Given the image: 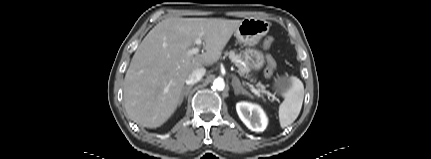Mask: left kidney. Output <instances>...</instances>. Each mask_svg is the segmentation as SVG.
Returning <instances> with one entry per match:
<instances>
[{"mask_svg":"<svg viewBox=\"0 0 431 159\" xmlns=\"http://www.w3.org/2000/svg\"><path fill=\"white\" fill-rule=\"evenodd\" d=\"M236 110L241 121L250 130L262 132L266 129L268 119L259 105L248 102H239L236 104Z\"/></svg>","mask_w":431,"mask_h":159,"instance_id":"left-kidney-1","label":"left kidney"}]
</instances>
